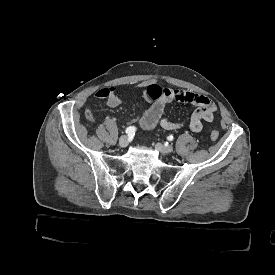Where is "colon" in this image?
<instances>
[{
    "instance_id": "1",
    "label": "colon",
    "mask_w": 275,
    "mask_h": 275,
    "mask_svg": "<svg viewBox=\"0 0 275 275\" xmlns=\"http://www.w3.org/2000/svg\"><path fill=\"white\" fill-rule=\"evenodd\" d=\"M160 92H161V87H160L159 85L152 84V85H150L149 88H148V93H149V95L152 96V97L157 96ZM86 114H87L88 119H89L91 122H94L95 118H94V116H93L92 109H90V108L87 109ZM210 136H211V140H212V141H216V140L218 139V137H219V132H218V130L213 129V130L211 131Z\"/></svg>"
}]
</instances>
